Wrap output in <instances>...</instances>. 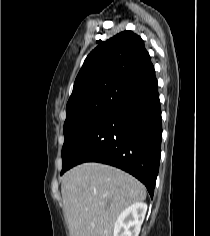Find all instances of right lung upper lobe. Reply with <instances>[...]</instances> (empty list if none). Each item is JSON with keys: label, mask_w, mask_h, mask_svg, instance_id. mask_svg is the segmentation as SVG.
<instances>
[{"label": "right lung upper lobe", "mask_w": 210, "mask_h": 236, "mask_svg": "<svg viewBox=\"0 0 210 236\" xmlns=\"http://www.w3.org/2000/svg\"><path fill=\"white\" fill-rule=\"evenodd\" d=\"M155 72L144 41L132 31L121 32L101 43L85 59L66 110L108 91H126Z\"/></svg>", "instance_id": "right-lung-upper-lobe-1"}]
</instances>
